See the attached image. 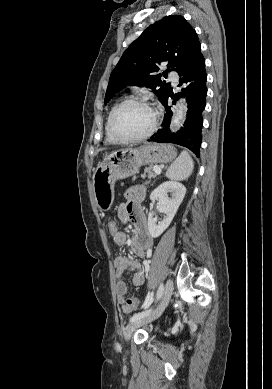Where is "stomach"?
<instances>
[{"label":"stomach","instance_id":"obj_1","mask_svg":"<svg viewBox=\"0 0 272 389\" xmlns=\"http://www.w3.org/2000/svg\"><path fill=\"white\" fill-rule=\"evenodd\" d=\"M176 155L172 145L157 143L112 152L93 174V192L99 210L105 212L111 208L117 180L136 174L142 165L170 162Z\"/></svg>","mask_w":272,"mask_h":389}]
</instances>
